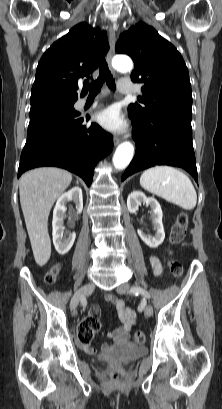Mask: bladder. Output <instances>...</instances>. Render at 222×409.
Instances as JSON below:
<instances>
[{
    "label": "bladder",
    "instance_id": "31cf9c89",
    "mask_svg": "<svg viewBox=\"0 0 222 409\" xmlns=\"http://www.w3.org/2000/svg\"><path fill=\"white\" fill-rule=\"evenodd\" d=\"M145 353L146 350L144 347L132 343H120L100 354L97 359L101 363L118 362L128 364L134 359L143 356Z\"/></svg>",
    "mask_w": 222,
    "mask_h": 409
}]
</instances>
